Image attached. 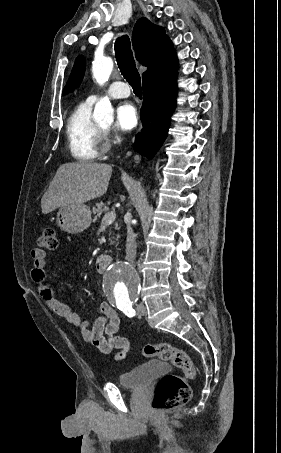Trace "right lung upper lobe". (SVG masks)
Here are the masks:
<instances>
[{
  "mask_svg": "<svg viewBox=\"0 0 281 453\" xmlns=\"http://www.w3.org/2000/svg\"><path fill=\"white\" fill-rule=\"evenodd\" d=\"M132 43L136 59L148 67L142 77L175 54L173 44L165 34L164 28L154 25L145 17L135 24Z\"/></svg>",
  "mask_w": 281,
  "mask_h": 453,
  "instance_id": "obj_1",
  "label": "right lung upper lobe"
}]
</instances>
